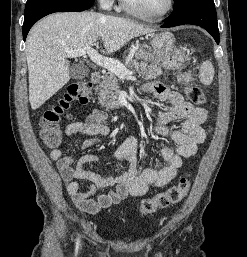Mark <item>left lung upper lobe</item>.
<instances>
[{"instance_id":"5c2ea615","label":"left lung upper lobe","mask_w":247,"mask_h":257,"mask_svg":"<svg viewBox=\"0 0 247 257\" xmlns=\"http://www.w3.org/2000/svg\"><path fill=\"white\" fill-rule=\"evenodd\" d=\"M189 0H174L175 7L187 2Z\"/></svg>"}]
</instances>
